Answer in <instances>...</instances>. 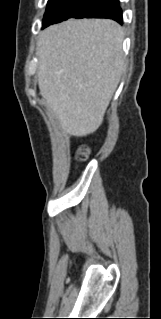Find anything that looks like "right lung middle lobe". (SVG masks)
Here are the masks:
<instances>
[{
	"label": "right lung middle lobe",
	"instance_id": "1",
	"mask_svg": "<svg viewBox=\"0 0 161 319\" xmlns=\"http://www.w3.org/2000/svg\"><path fill=\"white\" fill-rule=\"evenodd\" d=\"M100 0H49L43 18V27L69 18H83Z\"/></svg>",
	"mask_w": 161,
	"mask_h": 319
}]
</instances>
